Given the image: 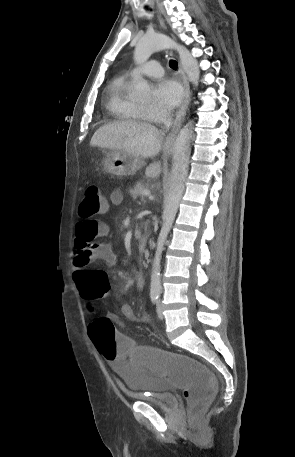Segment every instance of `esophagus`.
Returning <instances> with one entry per match:
<instances>
[{
    "instance_id": "1",
    "label": "esophagus",
    "mask_w": 295,
    "mask_h": 457,
    "mask_svg": "<svg viewBox=\"0 0 295 457\" xmlns=\"http://www.w3.org/2000/svg\"><path fill=\"white\" fill-rule=\"evenodd\" d=\"M159 20L161 22V24L163 26L164 25V21L163 19L159 16ZM179 74L182 78V83H183V87H184V97H183V102H182V105L180 107V109L178 110L177 114H176V117L174 119V122H173V127H172V130L171 132L169 133V135L167 136L166 138V141L164 143V150L166 152H169L171 151L172 149V146L174 144V141H175V136L177 134V132L179 131L180 129V126L184 120V117L186 115V109H187V106H188V103H189V97H190V89H189V82L187 80V77L179 63Z\"/></svg>"
}]
</instances>
